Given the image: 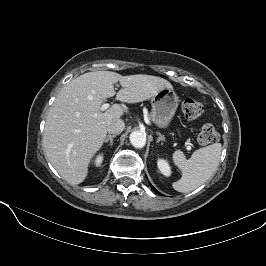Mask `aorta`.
Listing matches in <instances>:
<instances>
[{
  "label": "aorta",
  "mask_w": 266,
  "mask_h": 266,
  "mask_svg": "<svg viewBox=\"0 0 266 266\" xmlns=\"http://www.w3.org/2000/svg\"><path fill=\"white\" fill-rule=\"evenodd\" d=\"M130 142L136 148H143L146 144V135L140 131H134L130 134Z\"/></svg>",
  "instance_id": "aorta-1"
}]
</instances>
